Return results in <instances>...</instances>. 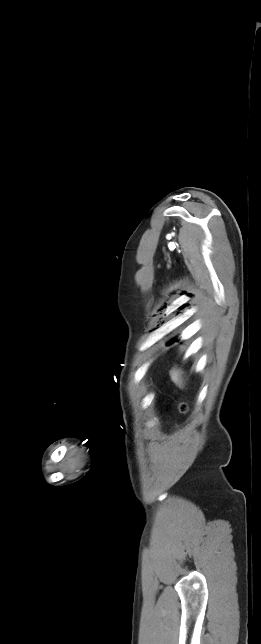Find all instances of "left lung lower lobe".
<instances>
[{"mask_svg": "<svg viewBox=\"0 0 261 644\" xmlns=\"http://www.w3.org/2000/svg\"><path fill=\"white\" fill-rule=\"evenodd\" d=\"M173 341H175V339H172V340L170 341V343H173Z\"/></svg>", "mask_w": 261, "mask_h": 644, "instance_id": "left-lung-lower-lobe-1", "label": "left lung lower lobe"}]
</instances>
